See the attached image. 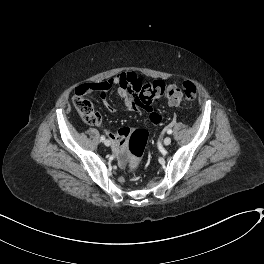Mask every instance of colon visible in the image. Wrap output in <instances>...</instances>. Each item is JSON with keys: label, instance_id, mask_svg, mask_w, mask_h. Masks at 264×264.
Masks as SVG:
<instances>
[{"label": "colon", "instance_id": "5ec220e1", "mask_svg": "<svg viewBox=\"0 0 264 264\" xmlns=\"http://www.w3.org/2000/svg\"><path fill=\"white\" fill-rule=\"evenodd\" d=\"M97 89V86L82 85L73 92V105L85 123L97 125L100 122V115L94 109L87 95ZM197 95V88L190 80H185L182 86L175 84H163L160 82H145L137 91L134 101L142 107H149L159 97L166 98L169 102L179 104L182 101H192ZM149 136L145 130L135 129L128 139V150L130 158L127 167L130 172L136 171L142 162L145 147Z\"/></svg>", "mask_w": 264, "mask_h": 264}]
</instances>
